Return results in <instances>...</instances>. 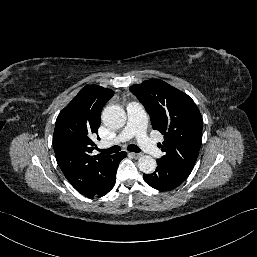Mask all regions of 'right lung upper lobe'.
<instances>
[{
  "mask_svg": "<svg viewBox=\"0 0 257 257\" xmlns=\"http://www.w3.org/2000/svg\"><path fill=\"white\" fill-rule=\"evenodd\" d=\"M113 95L111 89L86 85L56 120L53 147L57 163L71 185L86 197L98 190L113 157L91 154L102 108Z\"/></svg>",
  "mask_w": 257,
  "mask_h": 257,
  "instance_id": "obj_1",
  "label": "right lung upper lobe"
}]
</instances>
